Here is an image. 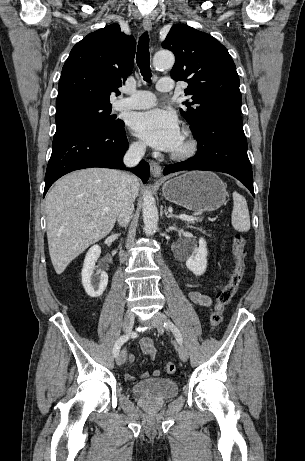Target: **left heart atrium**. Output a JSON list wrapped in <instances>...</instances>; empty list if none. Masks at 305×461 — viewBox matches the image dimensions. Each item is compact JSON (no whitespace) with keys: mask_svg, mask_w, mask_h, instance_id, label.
Segmentation results:
<instances>
[{"mask_svg":"<svg viewBox=\"0 0 305 461\" xmlns=\"http://www.w3.org/2000/svg\"><path fill=\"white\" fill-rule=\"evenodd\" d=\"M131 128L136 136L159 150L174 151L182 141L178 119L169 111L153 109L137 113L132 117Z\"/></svg>","mask_w":305,"mask_h":461,"instance_id":"obj_1","label":"left heart atrium"}]
</instances>
